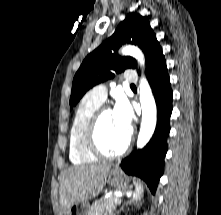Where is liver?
I'll list each match as a JSON object with an SVG mask.
<instances>
[{"label":"liver","mask_w":221,"mask_h":215,"mask_svg":"<svg viewBox=\"0 0 221 215\" xmlns=\"http://www.w3.org/2000/svg\"><path fill=\"white\" fill-rule=\"evenodd\" d=\"M110 164L81 165L67 169L59 188L60 208L67 211L78 202L97 196L107 182Z\"/></svg>","instance_id":"liver-1"}]
</instances>
